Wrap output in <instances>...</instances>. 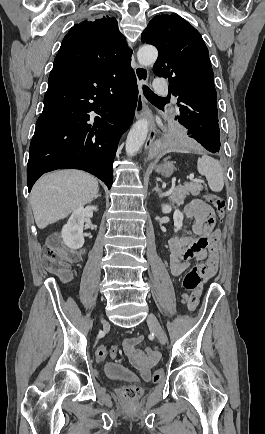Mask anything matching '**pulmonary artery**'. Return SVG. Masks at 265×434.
<instances>
[{
    "label": "pulmonary artery",
    "mask_w": 265,
    "mask_h": 434,
    "mask_svg": "<svg viewBox=\"0 0 265 434\" xmlns=\"http://www.w3.org/2000/svg\"><path fill=\"white\" fill-rule=\"evenodd\" d=\"M152 81L154 84H162L164 81V78L162 75H154L152 78Z\"/></svg>",
    "instance_id": "pulmonary-artery-1"
}]
</instances>
